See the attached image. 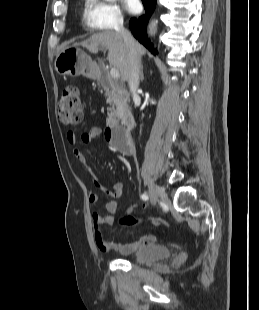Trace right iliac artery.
<instances>
[{
	"instance_id": "1",
	"label": "right iliac artery",
	"mask_w": 259,
	"mask_h": 310,
	"mask_svg": "<svg viewBox=\"0 0 259 310\" xmlns=\"http://www.w3.org/2000/svg\"><path fill=\"white\" fill-rule=\"evenodd\" d=\"M141 198L143 200H148L149 197H148V195L146 193H144V194L141 195Z\"/></svg>"
}]
</instances>
